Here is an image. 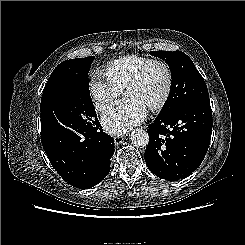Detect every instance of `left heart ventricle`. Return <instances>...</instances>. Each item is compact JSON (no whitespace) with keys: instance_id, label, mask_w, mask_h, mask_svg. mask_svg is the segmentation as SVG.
I'll return each instance as SVG.
<instances>
[{"instance_id":"left-heart-ventricle-1","label":"left heart ventricle","mask_w":245,"mask_h":245,"mask_svg":"<svg viewBox=\"0 0 245 245\" xmlns=\"http://www.w3.org/2000/svg\"><path fill=\"white\" fill-rule=\"evenodd\" d=\"M166 87V73L159 64H152L142 79L135 86L127 89L125 97H133L142 102L148 109L162 97Z\"/></svg>"}]
</instances>
